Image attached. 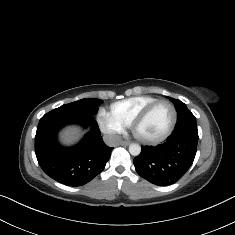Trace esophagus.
Masks as SVG:
<instances>
[{"mask_svg": "<svg viewBox=\"0 0 235 235\" xmlns=\"http://www.w3.org/2000/svg\"><path fill=\"white\" fill-rule=\"evenodd\" d=\"M130 143H131L130 141L123 140L120 142V145L121 146H128Z\"/></svg>", "mask_w": 235, "mask_h": 235, "instance_id": "1", "label": "esophagus"}]
</instances>
